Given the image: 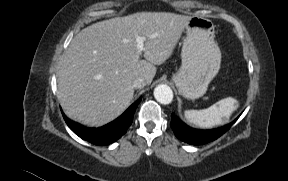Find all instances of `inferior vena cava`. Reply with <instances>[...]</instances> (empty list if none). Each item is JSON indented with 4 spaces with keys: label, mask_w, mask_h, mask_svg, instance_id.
Returning a JSON list of instances; mask_svg holds the SVG:
<instances>
[{
    "label": "inferior vena cava",
    "mask_w": 288,
    "mask_h": 181,
    "mask_svg": "<svg viewBox=\"0 0 288 181\" xmlns=\"http://www.w3.org/2000/svg\"><path fill=\"white\" fill-rule=\"evenodd\" d=\"M146 85L144 78L138 77L133 81V87L138 89Z\"/></svg>",
    "instance_id": "602c4592"
}]
</instances>
